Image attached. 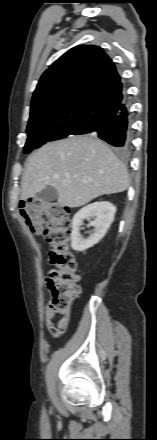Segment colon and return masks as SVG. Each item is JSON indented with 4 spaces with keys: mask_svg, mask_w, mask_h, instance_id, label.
Masks as SVG:
<instances>
[{
    "mask_svg": "<svg viewBox=\"0 0 157 440\" xmlns=\"http://www.w3.org/2000/svg\"><path fill=\"white\" fill-rule=\"evenodd\" d=\"M20 214L35 234L42 235L50 245L49 308L57 317L70 315V307L78 295V262L70 243V211L57 202L40 198L22 201Z\"/></svg>",
    "mask_w": 157,
    "mask_h": 440,
    "instance_id": "5ec220e1",
    "label": "colon"
}]
</instances>
